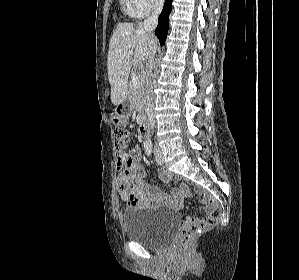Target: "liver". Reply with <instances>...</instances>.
Here are the masks:
<instances>
[{
    "instance_id": "1",
    "label": "liver",
    "mask_w": 299,
    "mask_h": 280,
    "mask_svg": "<svg viewBox=\"0 0 299 280\" xmlns=\"http://www.w3.org/2000/svg\"><path fill=\"white\" fill-rule=\"evenodd\" d=\"M157 40L146 32L141 23L119 24L110 39L107 68L111 85V102L121 104L128 94V77L132 66L147 63L151 47ZM132 51L129 58L127 54Z\"/></svg>"
}]
</instances>
